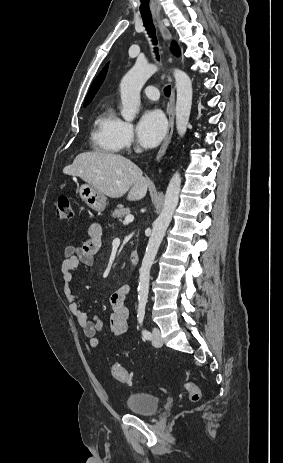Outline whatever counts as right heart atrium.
Wrapping results in <instances>:
<instances>
[{"label": "right heart atrium", "instance_id": "right-heart-atrium-1", "mask_svg": "<svg viewBox=\"0 0 283 463\" xmlns=\"http://www.w3.org/2000/svg\"><path fill=\"white\" fill-rule=\"evenodd\" d=\"M119 137L122 147L129 148L134 140L133 127L131 123L121 120L119 127Z\"/></svg>", "mask_w": 283, "mask_h": 463}]
</instances>
